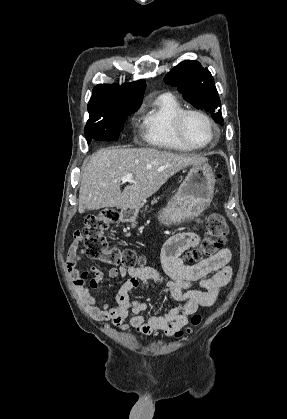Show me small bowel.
Returning a JSON list of instances; mask_svg holds the SVG:
<instances>
[{"instance_id":"small-bowel-1","label":"small bowel","mask_w":287,"mask_h":419,"mask_svg":"<svg viewBox=\"0 0 287 419\" xmlns=\"http://www.w3.org/2000/svg\"><path fill=\"white\" fill-rule=\"evenodd\" d=\"M78 238L79 233L75 232L66 257V265L77 293L92 318L103 323L110 322L122 331L134 328L146 336L156 335L160 331L169 336L173 335L187 324L189 317L199 306L212 305L220 289L231 280L232 268L229 266L231 251L228 248L196 265H184L180 259L181 254L197 246L200 236L192 231L179 232L166 241L161 253L163 267L169 279L148 267L110 268L109 277L127 279L116 295V304H98L87 285L90 288H97L102 281L103 273L96 267L86 270L77 268L82 255ZM88 276L91 277L88 279ZM151 281L164 283L166 293L181 304L165 314L155 313L146 318L144 312L148 308L147 303L130 300L129 294L141 284L148 286ZM195 282L199 283V288L193 287ZM128 318L129 323H126Z\"/></svg>"}]
</instances>
